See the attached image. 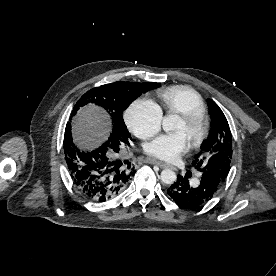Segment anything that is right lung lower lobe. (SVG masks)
<instances>
[{"mask_svg":"<svg viewBox=\"0 0 276 276\" xmlns=\"http://www.w3.org/2000/svg\"><path fill=\"white\" fill-rule=\"evenodd\" d=\"M111 149L102 145L93 151L79 150L73 144L71 125L67 123L64 151L68 170L75 188L91 201L105 202L116 197L136 172L130 169V163L122 167L120 161L112 159Z\"/></svg>","mask_w":276,"mask_h":276,"instance_id":"right-lung-lower-lobe-1","label":"right lung lower lobe"}]
</instances>
